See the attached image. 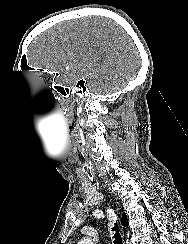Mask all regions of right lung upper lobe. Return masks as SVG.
I'll use <instances>...</instances> for the list:
<instances>
[{
    "instance_id": "1",
    "label": "right lung upper lobe",
    "mask_w": 188,
    "mask_h": 244,
    "mask_svg": "<svg viewBox=\"0 0 188 244\" xmlns=\"http://www.w3.org/2000/svg\"><path fill=\"white\" fill-rule=\"evenodd\" d=\"M121 224H122L123 226L127 225V216H126L125 213H124V214L122 215V217H121Z\"/></svg>"
}]
</instances>
